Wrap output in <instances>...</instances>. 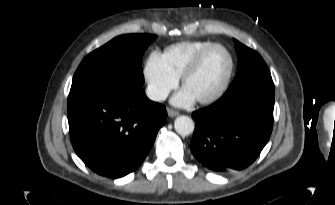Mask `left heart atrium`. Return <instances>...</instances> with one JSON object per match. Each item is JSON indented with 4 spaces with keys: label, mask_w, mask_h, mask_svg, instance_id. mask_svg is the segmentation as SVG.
Masks as SVG:
<instances>
[{
    "label": "left heart atrium",
    "mask_w": 335,
    "mask_h": 205,
    "mask_svg": "<svg viewBox=\"0 0 335 205\" xmlns=\"http://www.w3.org/2000/svg\"><path fill=\"white\" fill-rule=\"evenodd\" d=\"M195 97L185 88L172 98V103L177 106H188L195 101Z\"/></svg>",
    "instance_id": "1"
}]
</instances>
